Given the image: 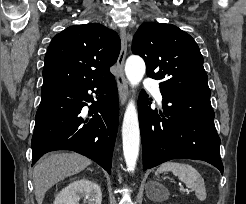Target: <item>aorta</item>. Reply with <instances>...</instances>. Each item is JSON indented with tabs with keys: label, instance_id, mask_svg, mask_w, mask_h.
<instances>
[{
	"label": "aorta",
	"instance_id": "762f6f07",
	"mask_svg": "<svg viewBox=\"0 0 246 204\" xmlns=\"http://www.w3.org/2000/svg\"><path fill=\"white\" fill-rule=\"evenodd\" d=\"M146 71L144 60L137 55H131L126 60L125 74L132 87H136L143 79ZM123 153L127 169L133 172L139 154L140 130L138 114L134 101H130L122 125Z\"/></svg>",
	"mask_w": 246,
	"mask_h": 204
}]
</instances>
